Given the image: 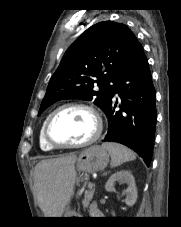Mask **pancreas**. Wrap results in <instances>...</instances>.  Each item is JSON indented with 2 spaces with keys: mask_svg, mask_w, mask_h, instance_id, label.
Here are the masks:
<instances>
[{
  "mask_svg": "<svg viewBox=\"0 0 181 227\" xmlns=\"http://www.w3.org/2000/svg\"><path fill=\"white\" fill-rule=\"evenodd\" d=\"M94 191H95L94 188H89V190H87L85 192L84 199L82 201L84 209L87 208L89 206V204H90V201H92L93 195H94Z\"/></svg>",
  "mask_w": 181,
  "mask_h": 227,
  "instance_id": "obj_1",
  "label": "pancreas"
}]
</instances>
